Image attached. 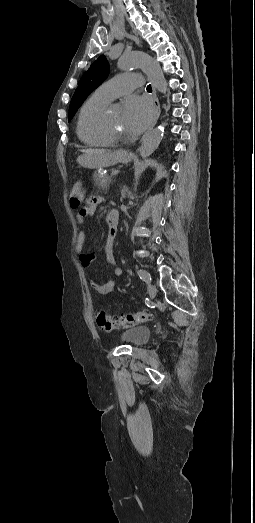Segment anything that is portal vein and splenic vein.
Instances as JSON below:
<instances>
[{
	"label": "portal vein and splenic vein",
	"instance_id": "18ae733b",
	"mask_svg": "<svg viewBox=\"0 0 255 523\" xmlns=\"http://www.w3.org/2000/svg\"><path fill=\"white\" fill-rule=\"evenodd\" d=\"M113 176H119L118 170L117 172H113Z\"/></svg>",
	"mask_w": 255,
	"mask_h": 523
}]
</instances>
